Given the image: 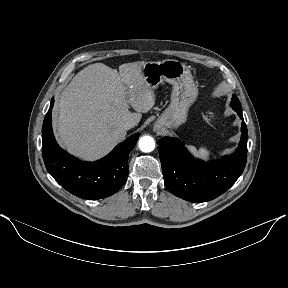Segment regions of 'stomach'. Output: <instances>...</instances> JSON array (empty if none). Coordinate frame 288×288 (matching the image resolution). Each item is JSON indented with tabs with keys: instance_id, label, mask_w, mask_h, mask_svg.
Here are the masks:
<instances>
[{
	"instance_id": "obj_1",
	"label": "stomach",
	"mask_w": 288,
	"mask_h": 288,
	"mask_svg": "<svg viewBox=\"0 0 288 288\" xmlns=\"http://www.w3.org/2000/svg\"><path fill=\"white\" fill-rule=\"evenodd\" d=\"M141 74L151 88H157L163 81L173 86L171 102L156 120L155 129L178 128L185 123L189 108L198 95L188 66L173 59L146 62Z\"/></svg>"
}]
</instances>
